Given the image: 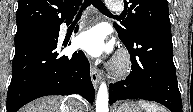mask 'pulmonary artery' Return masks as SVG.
<instances>
[{
	"label": "pulmonary artery",
	"mask_w": 193,
	"mask_h": 112,
	"mask_svg": "<svg viewBox=\"0 0 193 112\" xmlns=\"http://www.w3.org/2000/svg\"><path fill=\"white\" fill-rule=\"evenodd\" d=\"M107 6H108V8H109L111 11H114V12L120 10L119 5H118L116 2H114V1H109V2L107 3Z\"/></svg>",
	"instance_id": "obj_1"
}]
</instances>
